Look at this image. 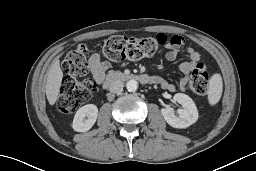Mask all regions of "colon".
I'll list each match as a JSON object with an SVG mask.
<instances>
[{"mask_svg":"<svg viewBox=\"0 0 256 171\" xmlns=\"http://www.w3.org/2000/svg\"><path fill=\"white\" fill-rule=\"evenodd\" d=\"M167 41L162 34L151 37L112 36L104 42L102 51L113 61L139 60L153 57ZM87 51L85 44H78L62 62L66 77L60 86L57 108L63 114L71 113L85 104L95 91L93 81L83 78L88 72ZM189 86L196 94L204 95L207 92L208 71L204 64L199 63L192 70Z\"/></svg>","mask_w":256,"mask_h":171,"instance_id":"obj_1","label":"colon"}]
</instances>
